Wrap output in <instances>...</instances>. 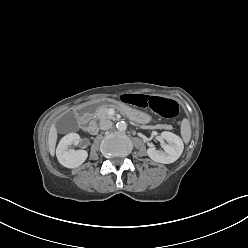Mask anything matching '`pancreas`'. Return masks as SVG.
<instances>
[{"label": "pancreas", "instance_id": "obj_1", "mask_svg": "<svg viewBox=\"0 0 248 248\" xmlns=\"http://www.w3.org/2000/svg\"><path fill=\"white\" fill-rule=\"evenodd\" d=\"M114 104H108V105H103L101 107H99V109L97 110L96 114H95V118L102 121V120H106V119H113L112 116L108 115V107H114ZM143 128H145L146 126H142ZM163 128L166 129H172V126L169 125H163Z\"/></svg>", "mask_w": 248, "mask_h": 248}]
</instances>
